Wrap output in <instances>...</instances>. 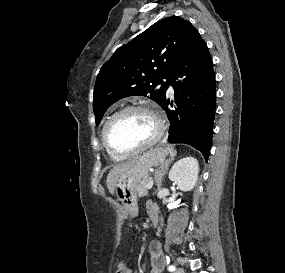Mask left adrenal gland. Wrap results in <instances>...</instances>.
I'll use <instances>...</instances> for the list:
<instances>
[{
	"mask_svg": "<svg viewBox=\"0 0 285 273\" xmlns=\"http://www.w3.org/2000/svg\"><path fill=\"white\" fill-rule=\"evenodd\" d=\"M172 160H174V158L168 159L165 161V163L163 165H161L156 171H155V182L157 185L158 190L161 189V185H162V180L164 175L166 174L167 170H168V166L169 164L172 162Z\"/></svg>",
	"mask_w": 285,
	"mask_h": 273,
	"instance_id": "1",
	"label": "left adrenal gland"
}]
</instances>
